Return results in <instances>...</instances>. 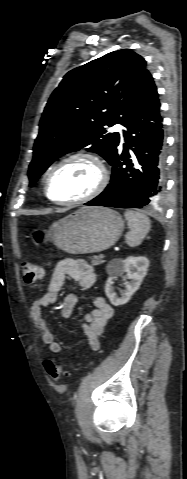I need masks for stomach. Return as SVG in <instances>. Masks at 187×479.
<instances>
[{
    "mask_svg": "<svg viewBox=\"0 0 187 479\" xmlns=\"http://www.w3.org/2000/svg\"><path fill=\"white\" fill-rule=\"evenodd\" d=\"M124 229L121 215L105 207H83L60 219L48 229L36 228V245L52 241L71 254L97 253L113 246Z\"/></svg>",
    "mask_w": 187,
    "mask_h": 479,
    "instance_id": "stomach-1",
    "label": "stomach"
}]
</instances>
